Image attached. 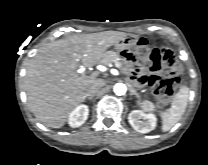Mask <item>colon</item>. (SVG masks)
I'll list each match as a JSON object with an SVG mask.
<instances>
[{
    "label": "colon",
    "mask_w": 208,
    "mask_h": 165,
    "mask_svg": "<svg viewBox=\"0 0 208 165\" xmlns=\"http://www.w3.org/2000/svg\"><path fill=\"white\" fill-rule=\"evenodd\" d=\"M136 51L141 58V62L151 72H156L162 67L169 70L166 75L152 74L149 78L150 86L158 97V105L160 107L166 106L181 83L179 77L181 65L179 61L171 50L149 45L144 38L139 39Z\"/></svg>",
    "instance_id": "1"
}]
</instances>
